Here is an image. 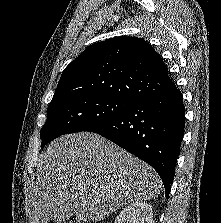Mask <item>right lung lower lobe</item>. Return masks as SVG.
Instances as JSON below:
<instances>
[{
    "mask_svg": "<svg viewBox=\"0 0 221 223\" xmlns=\"http://www.w3.org/2000/svg\"><path fill=\"white\" fill-rule=\"evenodd\" d=\"M185 126L182 94L176 87L135 101L129 108L86 131L100 134L150 164L168 199Z\"/></svg>",
    "mask_w": 221,
    "mask_h": 223,
    "instance_id": "1",
    "label": "right lung lower lobe"
}]
</instances>
